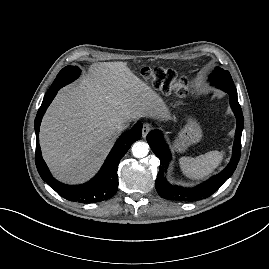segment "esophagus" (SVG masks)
I'll return each mask as SVG.
<instances>
[{"mask_svg": "<svg viewBox=\"0 0 269 269\" xmlns=\"http://www.w3.org/2000/svg\"><path fill=\"white\" fill-rule=\"evenodd\" d=\"M151 130H152V127H151L149 124L145 123V124L143 125V129H142V136L145 138V137L147 136V134H148Z\"/></svg>", "mask_w": 269, "mask_h": 269, "instance_id": "obj_1", "label": "esophagus"}]
</instances>
